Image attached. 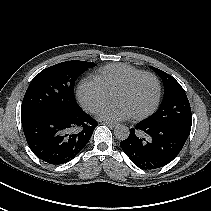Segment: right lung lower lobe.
Here are the masks:
<instances>
[{"instance_id":"right-lung-lower-lobe-1","label":"right lung lower lobe","mask_w":211,"mask_h":211,"mask_svg":"<svg viewBox=\"0 0 211 211\" xmlns=\"http://www.w3.org/2000/svg\"><path fill=\"white\" fill-rule=\"evenodd\" d=\"M21 120L31 151L52 165L72 160L88 143L97 126V122L82 110L26 116Z\"/></svg>"}]
</instances>
